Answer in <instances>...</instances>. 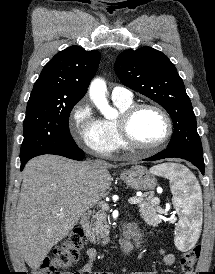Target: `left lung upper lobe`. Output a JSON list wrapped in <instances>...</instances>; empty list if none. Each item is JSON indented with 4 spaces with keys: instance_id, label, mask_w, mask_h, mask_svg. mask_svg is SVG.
Wrapping results in <instances>:
<instances>
[{
    "instance_id": "1",
    "label": "left lung upper lobe",
    "mask_w": 215,
    "mask_h": 274,
    "mask_svg": "<svg viewBox=\"0 0 215 274\" xmlns=\"http://www.w3.org/2000/svg\"><path fill=\"white\" fill-rule=\"evenodd\" d=\"M115 72L125 86L159 103L169 113L174 134L168 148L203 152L190 98L166 55L148 46L127 50L118 56Z\"/></svg>"
}]
</instances>
